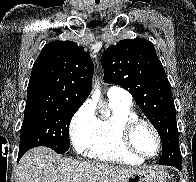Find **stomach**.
Returning <instances> with one entry per match:
<instances>
[{
  "instance_id": "1",
  "label": "stomach",
  "mask_w": 196,
  "mask_h": 182,
  "mask_svg": "<svg viewBox=\"0 0 196 182\" xmlns=\"http://www.w3.org/2000/svg\"><path fill=\"white\" fill-rule=\"evenodd\" d=\"M167 173L162 169L153 168L140 170L131 175L125 182H166Z\"/></svg>"
}]
</instances>
